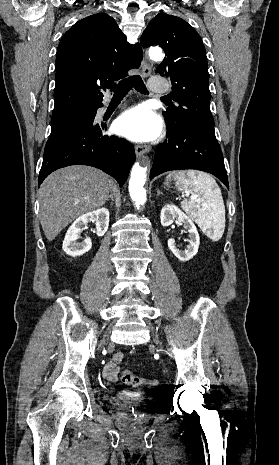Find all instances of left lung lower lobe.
Here are the masks:
<instances>
[{
    "label": "left lung lower lobe",
    "instance_id": "obj_1",
    "mask_svg": "<svg viewBox=\"0 0 279 465\" xmlns=\"http://www.w3.org/2000/svg\"><path fill=\"white\" fill-rule=\"evenodd\" d=\"M167 137L168 140L157 147L150 179L170 170L196 169L213 174L229 188L216 138L191 127L167 128Z\"/></svg>",
    "mask_w": 279,
    "mask_h": 465
}]
</instances>
